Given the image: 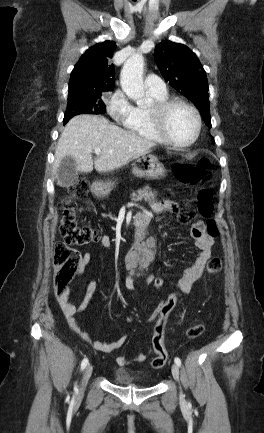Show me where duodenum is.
Returning <instances> with one entry per match:
<instances>
[{"label": "duodenum", "instance_id": "duodenum-1", "mask_svg": "<svg viewBox=\"0 0 264 433\" xmlns=\"http://www.w3.org/2000/svg\"><path fill=\"white\" fill-rule=\"evenodd\" d=\"M144 214L136 215L134 221L141 222ZM139 257L142 264H149L154 259V251L148 245L140 246L136 249V254L133 258Z\"/></svg>", "mask_w": 264, "mask_h": 433}]
</instances>
